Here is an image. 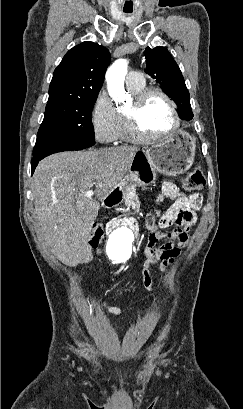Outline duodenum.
<instances>
[{
    "label": "duodenum",
    "mask_w": 243,
    "mask_h": 409,
    "mask_svg": "<svg viewBox=\"0 0 243 409\" xmlns=\"http://www.w3.org/2000/svg\"><path fill=\"white\" fill-rule=\"evenodd\" d=\"M120 200H121V193L119 190L115 189L104 199L103 206L105 208H111L117 205L120 202ZM116 226H127L133 231L136 230V223L132 219H122L119 221L112 222L108 225L107 229L112 230Z\"/></svg>",
    "instance_id": "obj_1"
}]
</instances>
